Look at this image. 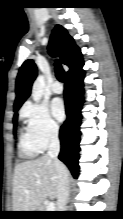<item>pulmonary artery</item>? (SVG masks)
I'll return each mask as SVG.
<instances>
[{"mask_svg":"<svg viewBox=\"0 0 123 219\" xmlns=\"http://www.w3.org/2000/svg\"><path fill=\"white\" fill-rule=\"evenodd\" d=\"M51 91L54 94H60L63 91V87L58 81H56L51 85Z\"/></svg>","mask_w":123,"mask_h":219,"instance_id":"e3ab8cb5","label":"pulmonary artery"}]
</instances>
